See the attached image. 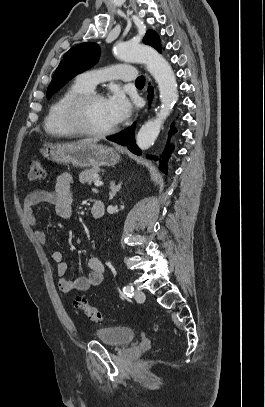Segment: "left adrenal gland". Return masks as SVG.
<instances>
[{
    "label": "left adrenal gland",
    "mask_w": 265,
    "mask_h": 407,
    "mask_svg": "<svg viewBox=\"0 0 265 407\" xmlns=\"http://www.w3.org/2000/svg\"><path fill=\"white\" fill-rule=\"evenodd\" d=\"M121 185H122V182L121 183H119L118 185H115V182L114 181H112L111 183H110V200L111 199H113V197L116 195V193L121 189Z\"/></svg>",
    "instance_id": "left-adrenal-gland-1"
}]
</instances>
